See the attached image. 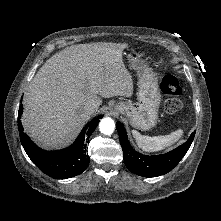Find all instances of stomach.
<instances>
[{
  "label": "stomach",
  "instance_id": "stomach-1",
  "mask_svg": "<svg viewBox=\"0 0 221 221\" xmlns=\"http://www.w3.org/2000/svg\"><path fill=\"white\" fill-rule=\"evenodd\" d=\"M131 69L138 72V102H119L114 106L116 112L129 118L130 124L140 130H149L158 120L161 94L158 79L151 68L140 61V54L134 50L126 53Z\"/></svg>",
  "mask_w": 221,
  "mask_h": 221
}]
</instances>
